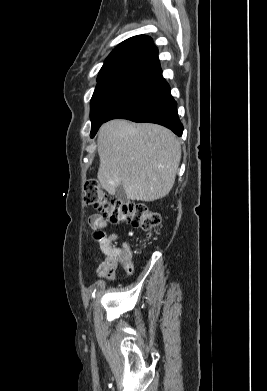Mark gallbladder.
I'll list each match as a JSON object with an SVG mask.
<instances>
[{
	"label": "gallbladder",
	"mask_w": 267,
	"mask_h": 391,
	"mask_svg": "<svg viewBox=\"0 0 267 391\" xmlns=\"http://www.w3.org/2000/svg\"><path fill=\"white\" fill-rule=\"evenodd\" d=\"M115 196L122 203H125L128 201L126 192H125L122 184L117 186Z\"/></svg>",
	"instance_id": "1"
}]
</instances>
